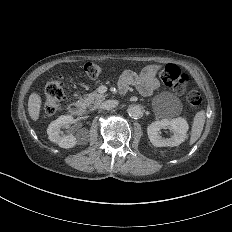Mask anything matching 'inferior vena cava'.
<instances>
[{"label":"inferior vena cava","instance_id":"1","mask_svg":"<svg viewBox=\"0 0 232 232\" xmlns=\"http://www.w3.org/2000/svg\"><path fill=\"white\" fill-rule=\"evenodd\" d=\"M118 103L119 102L115 99L106 100L101 104V108L106 109V110H110L112 108H115L118 105Z\"/></svg>","mask_w":232,"mask_h":232}]
</instances>
